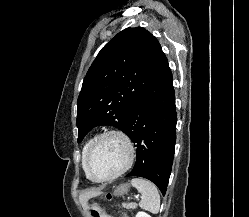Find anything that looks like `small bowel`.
Returning a JSON list of instances; mask_svg holds the SVG:
<instances>
[{
  "label": "small bowel",
  "mask_w": 249,
  "mask_h": 217,
  "mask_svg": "<svg viewBox=\"0 0 249 217\" xmlns=\"http://www.w3.org/2000/svg\"><path fill=\"white\" fill-rule=\"evenodd\" d=\"M105 217H113V216H108V215H107V216H105Z\"/></svg>",
  "instance_id": "1"
}]
</instances>
